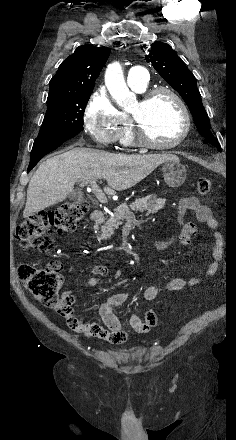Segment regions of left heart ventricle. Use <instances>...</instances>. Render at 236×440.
<instances>
[{"label":"left heart ventricle","mask_w":236,"mask_h":440,"mask_svg":"<svg viewBox=\"0 0 236 440\" xmlns=\"http://www.w3.org/2000/svg\"><path fill=\"white\" fill-rule=\"evenodd\" d=\"M131 112L140 116L148 138L155 143H170L183 131L184 122L180 109L167 94L157 96L143 108L137 102Z\"/></svg>","instance_id":"1"}]
</instances>
